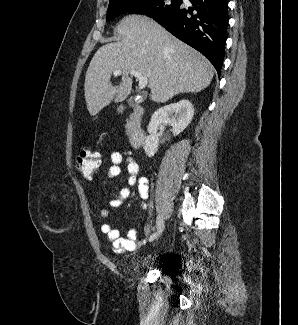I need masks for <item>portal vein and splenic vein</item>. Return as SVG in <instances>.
<instances>
[{
    "label": "portal vein and splenic vein",
    "instance_id": "portal-vein-and-splenic-vein-1",
    "mask_svg": "<svg viewBox=\"0 0 298 325\" xmlns=\"http://www.w3.org/2000/svg\"><path fill=\"white\" fill-rule=\"evenodd\" d=\"M130 74H133V76H136L138 78V86L139 88H145L146 84H148V76H143V74H140V72H137V70H128ZM114 76H118V74H122V70H113Z\"/></svg>",
    "mask_w": 298,
    "mask_h": 325
}]
</instances>
